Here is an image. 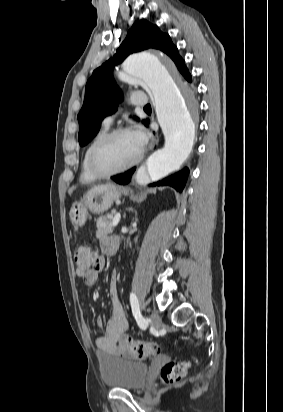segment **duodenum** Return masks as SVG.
Here are the masks:
<instances>
[{"instance_id": "410a0bca", "label": "duodenum", "mask_w": 283, "mask_h": 412, "mask_svg": "<svg viewBox=\"0 0 283 412\" xmlns=\"http://www.w3.org/2000/svg\"><path fill=\"white\" fill-rule=\"evenodd\" d=\"M118 248H119V242H118V240H117V242H115V243H113V244L111 245L110 251H111L112 253H115V252H117Z\"/></svg>"}]
</instances>
